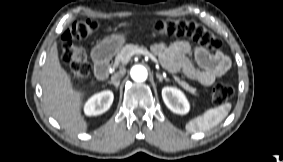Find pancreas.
Returning <instances> with one entry per match:
<instances>
[{"instance_id":"1","label":"pancreas","mask_w":283,"mask_h":162,"mask_svg":"<svg viewBox=\"0 0 283 162\" xmlns=\"http://www.w3.org/2000/svg\"><path fill=\"white\" fill-rule=\"evenodd\" d=\"M139 51H148L146 48L140 47L138 45H133V44H128L125 45L121 51L117 54L116 58H115V63H120L126 60L127 56L131 55V54H137L139 53ZM174 80L187 92L198 96L197 92H196V88H193L192 86H190L187 82L181 80L178 76H173Z\"/></svg>"}]
</instances>
